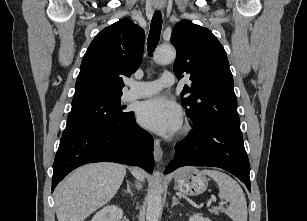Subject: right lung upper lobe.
Instances as JSON below:
<instances>
[{"label":"right lung upper lobe","instance_id":"obj_1","mask_svg":"<svg viewBox=\"0 0 307 221\" xmlns=\"http://www.w3.org/2000/svg\"><path fill=\"white\" fill-rule=\"evenodd\" d=\"M145 33L129 19L100 31L81 63L72 103L122 95V76L130 77L140 65Z\"/></svg>","mask_w":307,"mask_h":221}]
</instances>
